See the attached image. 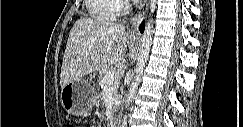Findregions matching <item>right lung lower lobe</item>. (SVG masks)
<instances>
[{"label": "right lung lower lobe", "mask_w": 243, "mask_h": 127, "mask_svg": "<svg viewBox=\"0 0 243 127\" xmlns=\"http://www.w3.org/2000/svg\"><path fill=\"white\" fill-rule=\"evenodd\" d=\"M144 29V21L142 22L141 26H140V32L142 33Z\"/></svg>", "instance_id": "1"}]
</instances>
